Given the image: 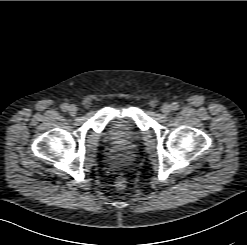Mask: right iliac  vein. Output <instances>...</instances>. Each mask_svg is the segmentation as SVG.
<instances>
[{
  "label": "right iliac vein",
  "mask_w": 247,
  "mask_h": 245,
  "mask_svg": "<svg viewBox=\"0 0 247 245\" xmlns=\"http://www.w3.org/2000/svg\"><path fill=\"white\" fill-rule=\"evenodd\" d=\"M77 107L75 105H70L68 108V112L71 116H75L77 114Z\"/></svg>",
  "instance_id": "63e3f726"
}]
</instances>
